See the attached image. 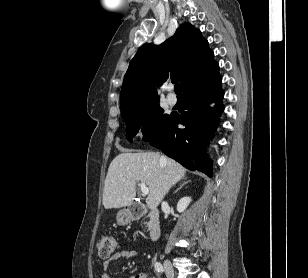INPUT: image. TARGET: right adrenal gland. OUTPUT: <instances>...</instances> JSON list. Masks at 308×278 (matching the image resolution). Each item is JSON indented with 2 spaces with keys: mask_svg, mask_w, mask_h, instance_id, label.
Masks as SVG:
<instances>
[{
  "mask_svg": "<svg viewBox=\"0 0 308 278\" xmlns=\"http://www.w3.org/2000/svg\"><path fill=\"white\" fill-rule=\"evenodd\" d=\"M187 178H184V180H186ZM190 182V180L189 181H184L182 184H180V186L174 191V193H176V192H178L180 189H182V187L184 186V185H186L187 183H189Z\"/></svg>",
  "mask_w": 308,
  "mask_h": 278,
  "instance_id": "obj_1",
  "label": "right adrenal gland"
}]
</instances>
